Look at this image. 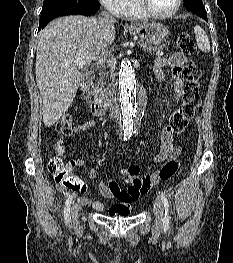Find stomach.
<instances>
[{
	"label": "stomach",
	"mask_w": 233,
	"mask_h": 263,
	"mask_svg": "<svg viewBox=\"0 0 233 263\" xmlns=\"http://www.w3.org/2000/svg\"><path fill=\"white\" fill-rule=\"evenodd\" d=\"M129 32L152 45L164 43L169 35L168 29L163 24L156 22L136 25L130 28Z\"/></svg>",
	"instance_id": "stomach-1"
}]
</instances>
